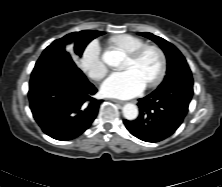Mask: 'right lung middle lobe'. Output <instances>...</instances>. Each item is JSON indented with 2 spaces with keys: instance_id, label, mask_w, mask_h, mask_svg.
Returning <instances> with one entry per match:
<instances>
[{
  "instance_id": "1",
  "label": "right lung middle lobe",
  "mask_w": 222,
  "mask_h": 187,
  "mask_svg": "<svg viewBox=\"0 0 222 187\" xmlns=\"http://www.w3.org/2000/svg\"><path fill=\"white\" fill-rule=\"evenodd\" d=\"M103 34V32L95 30H83L80 32H73L61 39L55 40L46 48V50H57L70 55L67 51L69 49H72L74 54L81 56L86 45L94 38Z\"/></svg>"
}]
</instances>
